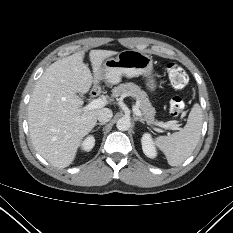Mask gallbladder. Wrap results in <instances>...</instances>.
<instances>
[{
  "instance_id": "1",
  "label": "gallbladder",
  "mask_w": 233,
  "mask_h": 233,
  "mask_svg": "<svg viewBox=\"0 0 233 233\" xmlns=\"http://www.w3.org/2000/svg\"><path fill=\"white\" fill-rule=\"evenodd\" d=\"M77 95L82 96V94H81V93H78Z\"/></svg>"
}]
</instances>
